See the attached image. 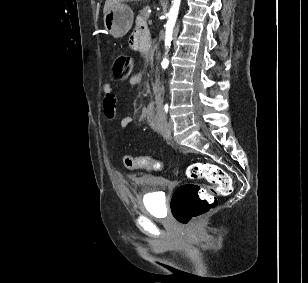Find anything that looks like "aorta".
<instances>
[{
  "label": "aorta",
  "mask_w": 308,
  "mask_h": 283,
  "mask_svg": "<svg viewBox=\"0 0 308 283\" xmlns=\"http://www.w3.org/2000/svg\"><path fill=\"white\" fill-rule=\"evenodd\" d=\"M181 0H173V5L168 13V21L166 23V31H165V46L170 47V43L172 40L173 29L178 17L179 7ZM169 61L167 58H164L161 66L163 69L168 67Z\"/></svg>",
  "instance_id": "obj_1"
}]
</instances>
